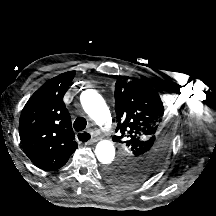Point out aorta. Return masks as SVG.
Returning a JSON list of instances; mask_svg holds the SVG:
<instances>
[{
    "label": "aorta",
    "mask_w": 216,
    "mask_h": 216,
    "mask_svg": "<svg viewBox=\"0 0 216 216\" xmlns=\"http://www.w3.org/2000/svg\"><path fill=\"white\" fill-rule=\"evenodd\" d=\"M80 101L84 111L99 126L104 128L110 126V112L101 95L89 89L82 92ZM95 154L99 162L108 165L114 160L115 147L111 141L102 140L96 145Z\"/></svg>",
    "instance_id": "762f6f07"
}]
</instances>
